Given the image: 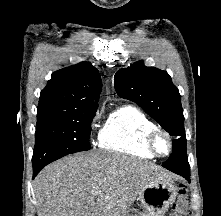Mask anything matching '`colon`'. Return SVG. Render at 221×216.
<instances>
[{
  "label": "colon",
  "instance_id": "obj_1",
  "mask_svg": "<svg viewBox=\"0 0 221 216\" xmlns=\"http://www.w3.org/2000/svg\"><path fill=\"white\" fill-rule=\"evenodd\" d=\"M188 199L186 196V191L184 189H181L179 191V196L177 201L172 207V211L170 212L169 216H182L187 207Z\"/></svg>",
  "mask_w": 221,
  "mask_h": 216
}]
</instances>
